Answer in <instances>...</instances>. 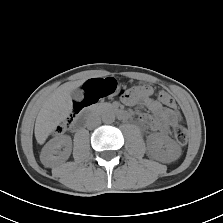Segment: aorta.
<instances>
[{
  "label": "aorta",
  "mask_w": 223,
  "mask_h": 223,
  "mask_svg": "<svg viewBox=\"0 0 223 223\" xmlns=\"http://www.w3.org/2000/svg\"><path fill=\"white\" fill-rule=\"evenodd\" d=\"M102 121L106 124H111L115 121V115L113 112L106 111L101 116Z\"/></svg>",
  "instance_id": "1"
}]
</instances>
